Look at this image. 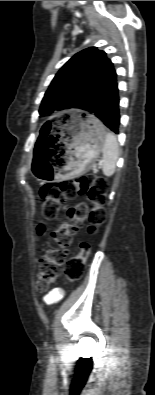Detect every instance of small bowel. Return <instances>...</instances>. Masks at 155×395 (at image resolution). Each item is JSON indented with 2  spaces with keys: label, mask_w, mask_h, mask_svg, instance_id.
Returning <instances> with one entry per match:
<instances>
[{
  "label": "small bowel",
  "mask_w": 155,
  "mask_h": 395,
  "mask_svg": "<svg viewBox=\"0 0 155 395\" xmlns=\"http://www.w3.org/2000/svg\"><path fill=\"white\" fill-rule=\"evenodd\" d=\"M63 294L62 291L59 289H55L49 292L45 297L44 301L46 304L51 305L61 300Z\"/></svg>",
  "instance_id": "c3829d8e"
}]
</instances>
